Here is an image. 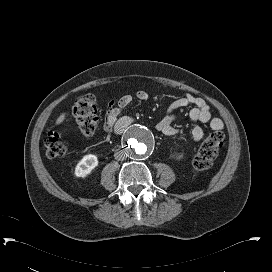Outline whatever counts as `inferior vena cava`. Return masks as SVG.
<instances>
[{"instance_id": "1", "label": "inferior vena cava", "mask_w": 272, "mask_h": 272, "mask_svg": "<svg viewBox=\"0 0 272 272\" xmlns=\"http://www.w3.org/2000/svg\"><path fill=\"white\" fill-rule=\"evenodd\" d=\"M114 158L118 161H123L127 158V154L124 150H121V149H117L115 152H114Z\"/></svg>"}]
</instances>
